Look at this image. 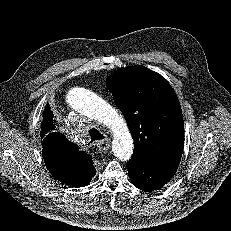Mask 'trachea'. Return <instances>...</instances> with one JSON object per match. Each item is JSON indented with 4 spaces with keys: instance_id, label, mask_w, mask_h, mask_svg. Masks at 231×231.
I'll use <instances>...</instances> for the list:
<instances>
[{
    "instance_id": "trachea-1",
    "label": "trachea",
    "mask_w": 231,
    "mask_h": 231,
    "mask_svg": "<svg viewBox=\"0 0 231 231\" xmlns=\"http://www.w3.org/2000/svg\"><path fill=\"white\" fill-rule=\"evenodd\" d=\"M89 135H90V138H91L90 142L104 139L103 134H101V132L96 128L90 129L89 130Z\"/></svg>"
}]
</instances>
